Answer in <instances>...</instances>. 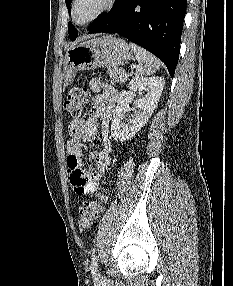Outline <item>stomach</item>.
Here are the masks:
<instances>
[{
  "label": "stomach",
  "instance_id": "obj_1",
  "mask_svg": "<svg viewBox=\"0 0 233 286\" xmlns=\"http://www.w3.org/2000/svg\"><path fill=\"white\" fill-rule=\"evenodd\" d=\"M131 58L132 50L127 42L113 36H103L72 47L67 50L63 61L65 86L72 84L78 71L115 68Z\"/></svg>",
  "mask_w": 233,
  "mask_h": 286
}]
</instances>
